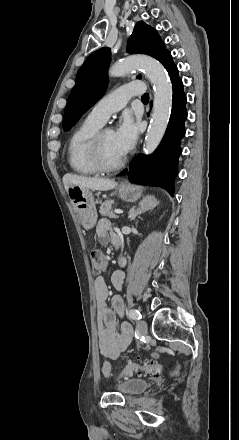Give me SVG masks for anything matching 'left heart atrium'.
I'll list each match as a JSON object with an SVG mask.
<instances>
[{
  "instance_id": "1",
  "label": "left heart atrium",
  "mask_w": 239,
  "mask_h": 440,
  "mask_svg": "<svg viewBox=\"0 0 239 440\" xmlns=\"http://www.w3.org/2000/svg\"><path fill=\"white\" fill-rule=\"evenodd\" d=\"M117 146L121 153L127 154L136 141L138 135V124L129 113H124L113 131Z\"/></svg>"
}]
</instances>
